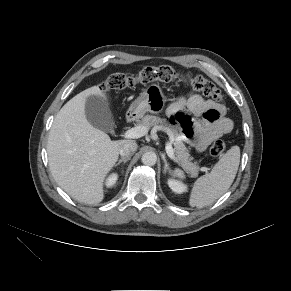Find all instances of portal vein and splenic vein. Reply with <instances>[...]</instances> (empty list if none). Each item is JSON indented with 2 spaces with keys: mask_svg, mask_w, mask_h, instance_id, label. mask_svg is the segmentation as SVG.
Returning <instances> with one entry per match:
<instances>
[{
  "mask_svg": "<svg viewBox=\"0 0 291 291\" xmlns=\"http://www.w3.org/2000/svg\"><path fill=\"white\" fill-rule=\"evenodd\" d=\"M147 128L144 127V126H137V127H133L129 130H127L125 133H124V138H127V139H137V138H140L142 136H144L146 133H147ZM173 140V138H172ZM166 153L168 155V157L175 161V155H174V150L172 148V144L171 143H168L166 145Z\"/></svg>",
  "mask_w": 291,
  "mask_h": 291,
  "instance_id": "18ae733b",
  "label": "portal vein and splenic vein"
}]
</instances>
